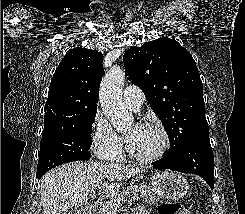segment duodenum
<instances>
[{
    "label": "duodenum",
    "mask_w": 245,
    "mask_h": 214,
    "mask_svg": "<svg viewBox=\"0 0 245 214\" xmlns=\"http://www.w3.org/2000/svg\"><path fill=\"white\" fill-rule=\"evenodd\" d=\"M101 211V203L94 202L88 206L81 208L77 214H99Z\"/></svg>",
    "instance_id": "duodenum-1"
}]
</instances>
